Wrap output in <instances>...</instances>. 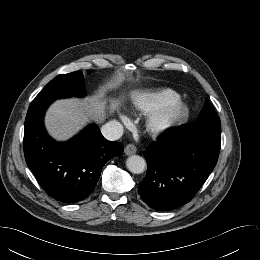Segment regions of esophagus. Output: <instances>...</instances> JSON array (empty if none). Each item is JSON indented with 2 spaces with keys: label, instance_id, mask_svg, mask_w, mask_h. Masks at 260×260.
Masks as SVG:
<instances>
[{
  "label": "esophagus",
  "instance_id": "34e87169",
  "mask_svg": "<svg viewBox=\"0 0 260 260\" xmlns=\"http://www.w3.org/2000/svg\"><path fill=\"white\" fill-rule=\"evenodd\" d=\"M124 152L126 155H133L137 152L136 147L133 144H128L125 148H124Z\"/></svg>",
  "mask_w": 260,
  "mask_h": 260
}]
</instances>
